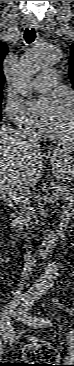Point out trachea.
I'll list each match as a JSON object with an SVG mask.
<instances>
[{
  "label": "trachea",
  "instance_id": "1",
  "mask_svg": "<svg viewBox=\"0 0 74 366\" xmlns=\"http://www.w3.org/2000/svg\"><path fill=\"white\" fill-rule=\"evenodd\" d=\"M36 38V32L34 28H26L24 31V39L26 43L31 44Z\"/></svg>",
  "mask_w": 74,
  "mask_h": 366
}]
</instances>
